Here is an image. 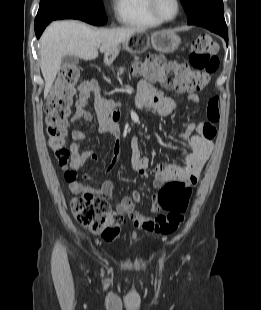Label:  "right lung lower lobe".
<instances>
[{
    "instance_id": "98d812e1",
    "label": "right lung lower lobe",
    "mask_w": 261,
    "mask_h": 310,
    "mask_svg": "<svg viewBox=\"0 0 261 310\" xmlns=\"http://www.w3.org/2000/svg\"><path fill=\"white\" fill-rule=\"evenodd\" d=\"M50 22L44 23L38 27H35V34L37 36V38L39 39V37L41 36L42 32L44 31L45 27L49 24Z\"/></svg>"
}]
</instances>
